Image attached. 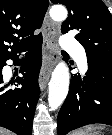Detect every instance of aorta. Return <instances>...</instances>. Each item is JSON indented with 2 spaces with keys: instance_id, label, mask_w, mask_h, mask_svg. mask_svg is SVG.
<instances>
[{
  "instance_id": "762f6f07",
  "label": "aorta",
  "mask_w": 112,
  "mask_h": 135,
  "mask_svg": "<svg viewBox=\"0 0 112 135\" xmlns=\"http://www.w3.org/2000/svg\"><path fill=\"white\" fill-rule=\"evenodd\" d=\"M50 17L54 21H64L67 18V10L64 6H53ZM70 74L65 62H60L52 72L49 82L48 104L50 110H56L64 102L69 90Z\"/></svg>"
}]
</instances>
